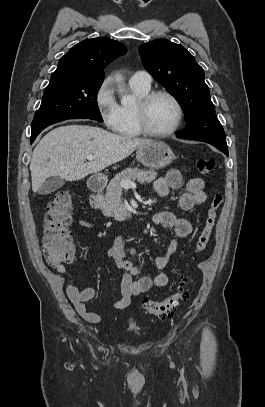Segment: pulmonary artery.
<instances>
[{
  "label": "pulmonary artery",
  "mask_w": 265,
  "mask_h": 407,
  "mask_svg": "<svg viewBox=\"0 0 265 407\" xmlns=\"http://www.w3.org/2000/svg\"><path fill=\"white\" fill-rule=\"evenodd\" d=\"M152 82L151 75L146 71H136L130 78V83L150 87Z\"/></svg>",
  "instance_id": "pulmonary-artery-1"
}]
</instances>
